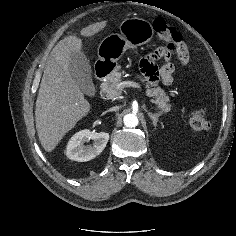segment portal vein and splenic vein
I'll list each match as a JSON object with an SVG mask.
<instances>
[{"instance_id":"portal-vein-and-splenic-vein-1","label":"portal vein and splenic vein","mask_w":236,"mask_h":236,"mask_svg":"<svg viewBox=\"0 0 236 236\" xmlns=\"http://www.w3.org/2000/svg\"><path fill=\"white\" fill-rule=\"evenodd\" d=\"M118 88H124V87H133V88H141L140 85L134 81H122L118 83Z\"/></svg>"}]
</instances>
